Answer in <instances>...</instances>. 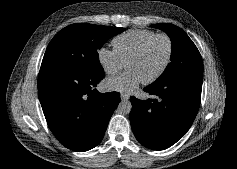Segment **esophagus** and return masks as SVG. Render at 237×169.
<instances>
[{
	"mask_svg": "<svg viewBox=\"0 0 237 169\" xmlns=\"http://www.w3.org/2000/svg\"><path fill=\"white\" fill-rule=\"evenodd\" d=\"M129 98H130L129 94H125V93L121 94V100L122 101H127V100H129Z\"/></svg>",
	"mask_w": 237,
	"mask_h": 169,
	"instance_id": "esophagus-1",
	"label": "esophagus"
}]
</instances>
